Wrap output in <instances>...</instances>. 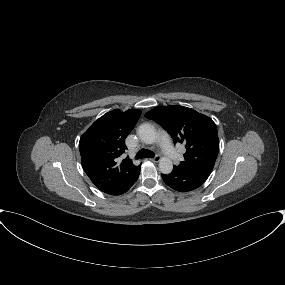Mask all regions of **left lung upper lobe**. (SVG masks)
I'll return each mask as SVG.
<instances>
[{
  "mask_svg": "<svg viewBox=\"0 0 285 285\" xmlns=\"http://www.w3.org/2000/svg\"><path fill=\"white\" fill-rule=\"evenodd\" d=\"M160 124L173 138L174 143L186 147L183 169L205 168L212 170L219 151L217 127L213 120L183 106H160L145 114Z\"/></svg>",
  "mask_w": 285,
  "mask_h": 285,
  "instance_id": "left-lung-upper-lobe-1",
  "label": "left lung upper lobe"
}]
</instances>
